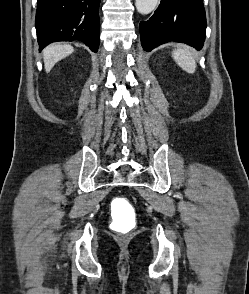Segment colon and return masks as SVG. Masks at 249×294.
Returning <instances> with one entry per match:
<instances>
[{"label":"colon","instance_id":"1","mask_svg":"<svg viewBox=\"0 0 249 294\" xmlns=\"http://www.w3.org/2000/svg\"><path fill=\"white\" fill-rule=\"evenodd\" d=\"M112 210L115 212L111 222V229L119 234H127L134 227L133 218L129 213H123L128 209L124 198L116 197L111 202Z\"/></svg>","mask_w":249,"mask_h":294}]
</instances>
